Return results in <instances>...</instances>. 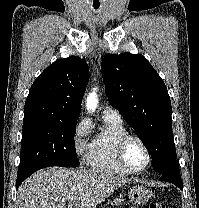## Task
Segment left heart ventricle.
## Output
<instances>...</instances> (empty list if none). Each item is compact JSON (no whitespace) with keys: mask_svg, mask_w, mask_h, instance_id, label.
Returning <instances> with one entry per match:
<instances>
[{"mask_svg":"<svg viewBox=\"0 0 199 208\" xmlns=\"http://www.w3.org/2000/svg\"><path fill=\"white\" fill-rule=\"evenodd\" d=\"M126 159L129 165L135 169H140L145 165L147 155L138 141L132 140L129 142L126 148Z\"/></svg>","mask_w":199,"mask_h":208,"instance_id":"1","label":"left heart ventricle"}]
</instances>
